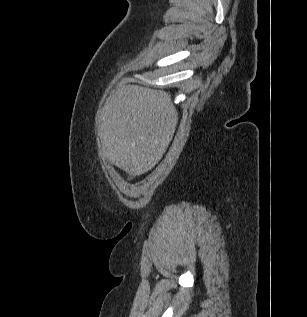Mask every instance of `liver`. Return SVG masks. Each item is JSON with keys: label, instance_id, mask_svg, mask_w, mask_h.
Here are the masks:
<instances>
[{"label": "liver", "instance_id": "liver-1", "mask_svg": "<svg viewBox=\"0 0 307 317\" xmlns=\"http://www.w3.org/2000/svg\"><path fill=\"white\" fill-rule=\"evenodd\" d=\"M177 122L169 93L138 85L118 87L102 109L103 154L132 176L144 174L162 158Z\"/></svg>", "mask_w": 307, "mask_h": 317}]
</instances>
